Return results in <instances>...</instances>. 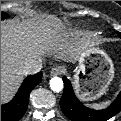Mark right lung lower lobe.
I'll list each match as a JSON object with an SVG mask.
<instances>
[{"label": "right lung lower lobe", "instance_id": "obj_1", "mask_svg": "<svg viewBox=\"0 0 121 121\" xmlns=\"http://www.w3.org/2000/svg\"><path fill=\"white\" fill-rule=\"evenodd\" d=\"M41 80V73L25 78L13 100L1 105V121H18L22 118L27 110L30 92Z\"/></svg>", "mask_w": 121, "mask_h": 121}]
</instances>
